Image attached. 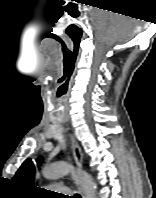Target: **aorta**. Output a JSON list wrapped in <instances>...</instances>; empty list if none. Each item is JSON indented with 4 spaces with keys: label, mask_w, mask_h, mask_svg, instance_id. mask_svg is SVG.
Returning a JSON list of instances; mask_svg holds the SVG:
<instances>
[{
    "label": "aorta",
    "mask_w": 156,
    "mask_h": 198,
    "mask_svg": "<svg viewBox=\"0 0 156 198\" xmlns=\"http://www.w3.org/2000/svg\"><path fill=\"white\" fill-rule=\"evenodd\" d=\"M42 172L46 179L54 180L63 175L74 172V169L66 163H55L46 165ZM76 176L83 189L84 198H96V184L94 183L92 177L84 171H77Z\"/></svg>",
    "instance_id": "1"
}]
</instances>
